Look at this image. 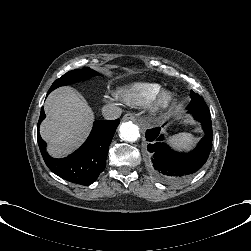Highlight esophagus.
<instances>
[{"label": "esophagus", "mask_w": 251, "mask_h": 251, "mask_svg": "<svg viewBox=\"0 0 251 251\" xmlns=\"http://www.w3.org/2000/svg\"><path fill=\"white\" fill-rule=\"evenodd\" d=\"M124 121H135V116L132 113H126L123 116Z\"/></svg>", "instance_id": "1"}]
</instances>
